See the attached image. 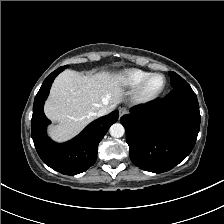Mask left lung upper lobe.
<instances>
[{"label":"left lung upper lobe","mask_w":224,"mask_h":224,"mask_svg":"<svg viewBox=\"0 0 224 224\" xmlns=\"http://www.w3.org/2000/svg\"><path fill=\"white\" fill-rule=\"evenodd\" d=\"M169 75L171 77V85L173 88L186 82L183 78H181L175 72H169Z\"/></svg>","instance_id":"left-lung-upper-lobe-1"}]
</instances>
